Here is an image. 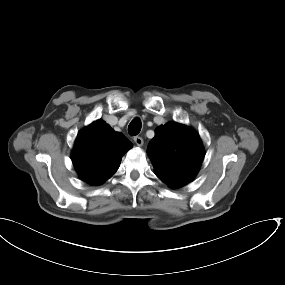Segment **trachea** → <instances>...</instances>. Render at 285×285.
<instances>
[{
    "label": "trachea",
    "mask_w": 285,
    "mask_h": 285,
    "mask_svg": "<svg viewBox=\"0 0 285 285\" xmlns=\"http://www.w3.org/2000/svg\"><path fill=\"white\" fill-rule=\"evenodd\" d=\"M141 130V121L139 118H135L131 121V123L128 126V132L130 135H137L139 134Z\"/></svg>",
    "instance_id": "trachea-1"
}]
</instances>
